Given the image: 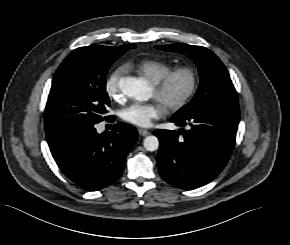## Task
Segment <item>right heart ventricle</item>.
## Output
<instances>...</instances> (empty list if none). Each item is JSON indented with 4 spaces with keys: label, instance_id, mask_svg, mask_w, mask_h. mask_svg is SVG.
<instances>
[{
    "label": "right heart ventricle",
    "instance_id": "right-heart-ventricle-1",
    "mask_svg": "<svg viewBox=\"0 0 290 245\" xmlns=\"http://www.w3.org/2000/svg\"><path fill=\"white\" fill-rule=\"evenodd\" d=\"M127 67L134 69L137 73L146 77L152 83L160 80L172 69L170 64L155 59H146L137 63H129L127 64Z\"/></svg>",
    "mask_w": 290,
    "mask_h": 245
}]
</instances>
